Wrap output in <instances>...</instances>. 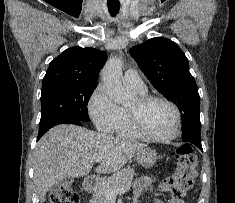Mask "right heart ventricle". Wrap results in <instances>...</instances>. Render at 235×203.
<instances>
[{
  "label": "right heart ventricle",
  "instance_id": "e07e8e85",
  "mask_svg": "<svg viewBox=\"0 0 235 203\" xmlns=\"http://www.w3.org/2000/svg\"><path fill=\"white\" fill-rule=\"evenodd\" d=\"M135 91L140 95L146 94V91ZM112 132L122 138H140L130 126L125 107H120V117Z\"/></svg>",
  "mask_w": 235,
  "mask_h": 203
}]
</instances>
